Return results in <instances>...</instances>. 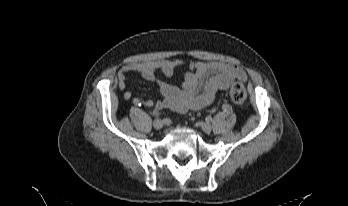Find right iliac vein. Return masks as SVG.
<instances>
[{"mask_svg":"<svg viewBox=\"0 0 348 206\" xmlns=\"http://www.w3.org/2000/svg\"><path fill=\"white\" fill-rule=\"evenodd\" d=\"M153 127L157 130L161 129L163 127V122L159 119L154 120Z\"/></svg>","mask_w":348,"mask_h":206,"instance_id":"63e3f726","label":"right iliac vein"}]
</instances>
